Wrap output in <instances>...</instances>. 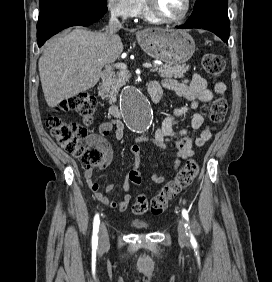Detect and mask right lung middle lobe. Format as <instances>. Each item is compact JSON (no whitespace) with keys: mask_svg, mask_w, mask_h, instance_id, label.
Instances as JSON below:
<instances>
[{"mask_svg":"<svg viewBox=\"0 0 272 282\" xmlns=\"http://www.w3.org/2000/svg\"><path fill=\"white\" fill-rule=\"evenodd\" d=\"M60 2H85V3H96L101 5H107V0H39L40 9L55 3Z\"/></svg>","mask_w":272,"mask_h":282,"instance_id":"1","label":"right lung middle lobe"}]
</instances>
